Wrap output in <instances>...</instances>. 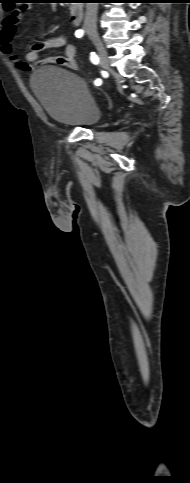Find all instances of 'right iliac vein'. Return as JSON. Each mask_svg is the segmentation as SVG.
I'll list each match as a JSON object with an SVG mask.
<instances>
[{
	"instance_id": "right-iliac-vein-1",
	"label": "right iliac vein",
	"mask_w": 190,
	"mask_h": 483,
	"mask_svg": "<svg viewBox=\"0 0 190 483\" xmlns=\"http://www.w3.org/2000/svg\"><path fill=\"white\" fill-rule=\"evenodd\" d=\"M87 33H88L89 37L91 38V40L93 41V43H94V45L97 49L98 56H99V59H100L101 68L107 70L108 67H109L108 53H107L99 35H98V33L95 30H88Z\"/></svg>"
}]
</instances>
